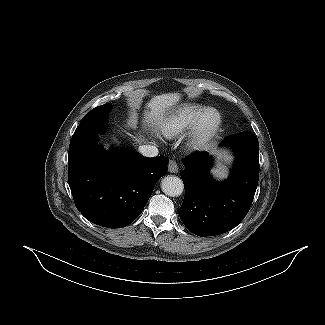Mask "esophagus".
<instances>
[{
  "instance_id": "1",
  "label": "esophagus",
  "mask_w": 325,
  "mask_h": 325,
  "mask_svg": "<svg viewBox=\"0 0 325 325\" xmlns=\"http://www.w3.org/2000/svg\"><path fill=\"white\" fill-rule=\"evenodd\" d=\"M168 171H169L170 173H177V172H178V166H177L176 161H174V160H170V161H169V164H168Z\"/></svg>"
}]
</instances>
